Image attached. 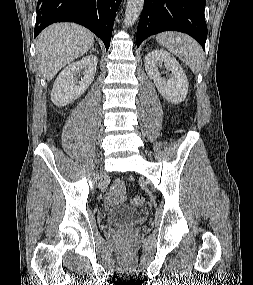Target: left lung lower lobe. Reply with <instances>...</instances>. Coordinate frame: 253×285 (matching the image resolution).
I'll list each match as a JSON object with an SVG mask.
<instances>
[{
	"instance_id": "obj_1",
	"label": "left lung lower lobe",
	"mask_w": 253,
	"mask_h": 285,
	"mask_svg": "<svg viewBox=\"0 0 253 285\" xmlns=\"http://www.w3.org/2000/svg\"><path fill=\"white\" fill-rule=\"evenodd\" d=\"M206 0H145L137 28V47L147 37L163 31H180L192 36L205 50Z\"/></svg>"
}]
</instances>
